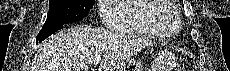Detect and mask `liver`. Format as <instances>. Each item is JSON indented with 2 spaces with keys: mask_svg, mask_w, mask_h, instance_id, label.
I'll use <instances>...</instances> for the list:
<instances>
[{
  "mask_svg": "<svg viewBox=\"0 0 230 71\" xmlns=\"http://www.w3.org/2000/svg\"><path fill=\"white\" fill-rule=\"evenodd\" d=\"M152 42L138 36L87 27H72L52 35L38 48L31 71H88L96 55L100 68L120 69Z\"/></svg>",
  "mask_w": 230,
  "mask_h": 71,
  "instance_id": "obj_1",
  "label": "liver"
}]
</instances>
